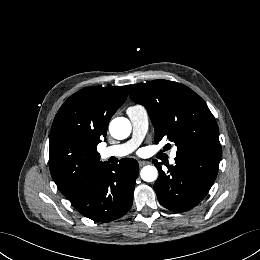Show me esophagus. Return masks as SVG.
Instances as JSON below:
<instances>
[{"label": "esophagus", "instance_id": "esophagus-1", "mask_svg": "<svg viewBox=\"0 0 260 260\" xmlns=\"http://www.w3.org/2000/svg\"><path fill=\"white\" fill-rule=\"evenodd\" d=\"M138 163H139V166L142 167V166L148 164L149 162H148V161L140 160Z\"/></svg>", "mask_w": 260, "mask_h": 260}]
</instances>
